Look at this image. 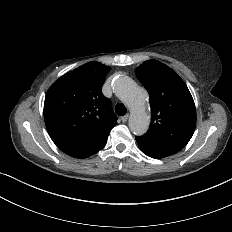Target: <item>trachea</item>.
I'll return each instance as SVG.
<instances>
[{
    "label": "trachea",
    "instance_id": "trachea-1",
    "mask_svg": "<svg viewBox=\"0 0 232 232\" xmlns=\"http://www.w3.org/2000/svg\"><path fill=\"white\" fill-rule=\"evenodd\" d=\"M115 112H116L117 115L123 116V115L126 114L127 109H126V107L122 103H118L115 106Z\"/></svg>",
    "mask_w": 232,
    "mask_h": 232
}]
</instances>
